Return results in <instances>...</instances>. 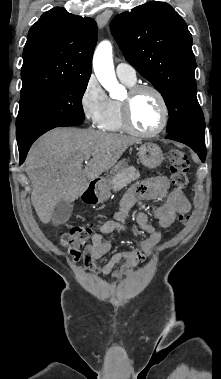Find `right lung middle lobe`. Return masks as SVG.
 Here are the masks:
<instances>
[{"mask_svg":"<svg viewBox=\"0 0 221 379\" xmlns=\"http://www.w3.org/2000/svg\"><path fill=\"white\" fill-rule=\"evenodd\" d=\"M88 80L59 81L21 91L16 120L17 142L35 140L55 127L82 124V97Z\"/></svg>","mask_w":221,"mask_h":379,"instance_id":"obj_1","label":"right lung middle lobe"}]
</instances>
